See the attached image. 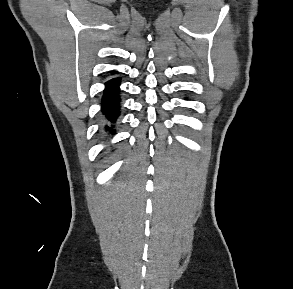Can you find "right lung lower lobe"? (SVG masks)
<instances>
[{
	"mask_svg": "<svg viewBox=\"0 0 293 289\" xmlns=\"http://www.w3.org/2000/svg\"><path fill=\"white\" fill-rule=\"evenodd\" d=\"M119 85L120 78H114L108 81L102 97V112L108 120V126H105V129L107 130L112 129V124L120 114Z\"/></svg>",
	"mask_w": 293,
	"mask_h": 289,
	"instance_id": "98d812e1",
	"label": "right lung lower lobe"
}]
</instances>
